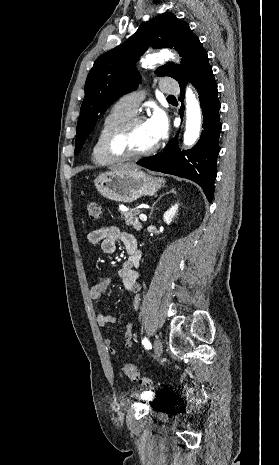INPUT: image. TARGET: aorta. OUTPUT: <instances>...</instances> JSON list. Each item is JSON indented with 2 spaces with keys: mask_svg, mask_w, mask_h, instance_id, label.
Segmentation results:
<instances>
[{
  "mask_svg": "<svg viewBox=\"0 0 279 465\" xmlns=\"http://www.w3.org/2000/svg\"><path fill=\"white\" fill-rule=\"evenodd\" d=\"M174 59V55L169 51L148 56L146 62L148 64L155 63L161 59ZM201 129V109L198 100L191 89L186 90V129L184 133V144L192 145L199 137Z\"/></svg>",
  "mask_w": 279,
  "mask_h": 465,
  "instance_id": "obj_1",
  "label": "aorta"
}]
</instances>
